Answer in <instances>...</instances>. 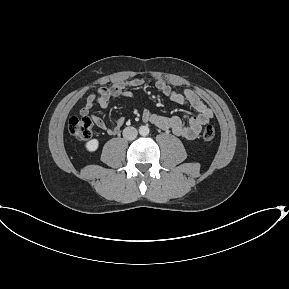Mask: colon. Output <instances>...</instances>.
I'll list each match as a JSON object with an SVG mask.
<instances>
[{"instance_id": "colon-1", "label": "colon", "mask_w": 289, "mask_h": 289, "mask_svg": "<svg viewBox=\"0 0 289 289\" xmlns=\"http://www.w3.org/2000/svg\"><path fill=\"white\" fill-rule=\"evenodd\" d=\"M93 124L88 117H72L68 122V130L70 134L79 141H86L92 135ZM215 137V128L207 125L202 132V139L210 142Z\"/></svg>"}]
</instances>
